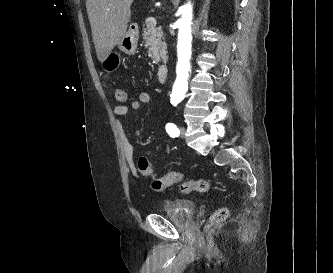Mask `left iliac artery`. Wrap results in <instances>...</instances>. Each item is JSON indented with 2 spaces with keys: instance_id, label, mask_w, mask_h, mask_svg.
<instances>
[{
  "instance_id": "44dca946",
  "label": "left iliac artery",
  "mask_w": 333,
  "mask_h": 273,
  "mask_svg": "<svg viewBox=\"0 0 333 273\" xmlns=\"http://www.w3.org/2000/svg\"><path fill=\"white\" fill-rule=\"evenodd\" d=\"M165 128H166L167 133H168L172 138H174V137H178L179 134H180V130H179L178 127H177L175 124H173V123H167Z\"/></svg>"
}]
</instances>
